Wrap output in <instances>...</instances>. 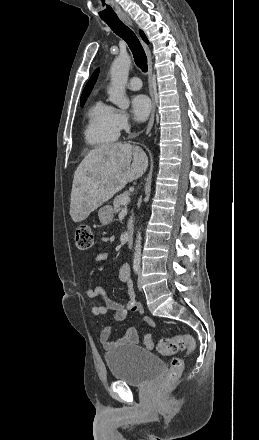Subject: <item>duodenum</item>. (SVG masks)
I'll list each match as a JSON object with an SVG mask.
<instances>
[{"instance_id":"410a0bca","label":"duodenum","mask_w":259,"mask_h":440,"mask_svg":"<svg viewBox=\"0 0 259 440\" xmlns=\"http://www.w3.org/2000/svg\"><path fill=\"white\" fill-rule=\"evenodd\" d=\"M133 235H134L133 229L129 228L126 234V243L128 246H132L133 244Z\"/></svg>"}]
</instances>
